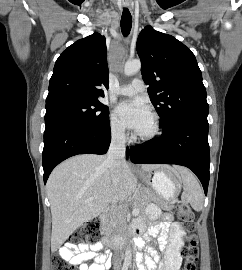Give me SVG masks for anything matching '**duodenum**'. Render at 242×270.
Returning a JSON list of instances; mask_svg holds the SVG:
<instances>
[{
    "mask_svg": "<svg viewBox=\"0 0 242 270\" xmlns=\"http://www.w3.org/2000/svg\"><path fill=\"white\" fill-rule=\"evenodd\" d=\"M109 218V212L106 211L100 215V221L106 225L107 221ZM137 235L135 233L134 227L126 234L122 236H111V237H106L105 240L103 241L104 244L106 243L109 247L112 249H119L123 247L126 243L132 242L134 236Z\"/></svg>",
    "mask_w": 242,
    "mask_h": 270,
    "instance_id": "410a0bca",
    "label": "duodenum"
}]
</instances>
